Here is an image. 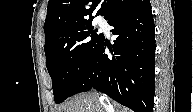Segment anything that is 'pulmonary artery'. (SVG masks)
I'll list each match as a JSON object with an SVG mask.
<instances>
[{
  "mask_svg": "<svg viewBox=\"0 0 193 112\" xmlns=\"http://www.w3.org/2000/svg\"><path fill=\"white\" fill-rule=\"evenodd\" d=\"M99 23L101 24V23H102V21H101V20H99Z\"/></svg>",
  "mask_w": 193,
  "mask_h": 112,
  "instance_id": "e3ab8cb5",
  "label": "pulmonary artery"
}]
</instances>
